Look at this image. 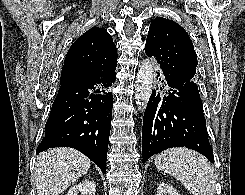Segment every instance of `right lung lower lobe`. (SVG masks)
Here are the masks:
<instances>
[{
    "instance_id": "1",
    "label": "right lung lower lobe",
    "mask_w": 245,
    "mask_h": 195,
    "mask_svg": "<svg viewBox=\"0 0 245 195\" xmlns=\"http://www.w3.org/2000/svg\"><path fill=\"white\" fill-rule=\"evenodd\" d=\"M116 73L97 71L89 79L60 84L36 154L53 147H71L106 173L112 119L110 91Z\"/></svg>"
}]
</instances>
